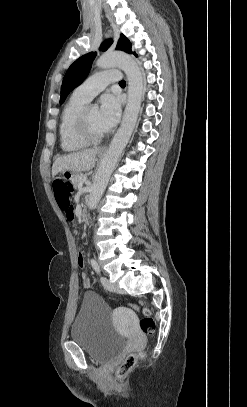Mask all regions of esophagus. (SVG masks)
Here are the masks:
<instances>
[{
    "mask_svg": "<svg viewBox=\"0 0 247 407\" xmlns=\"http://www.w3.org/2000/svg\"><path fill=\"white\" fill-rule=\"evenodd\" d=\"M107 148H108L107 145H104V146H102V147L100 148V150H101V151H106Z\"/></svg>",
    "mask_w": 247,
    "mask_h": 407,
    "instance_id": "1",
    "label": "esophagus"
}]
</instances>
